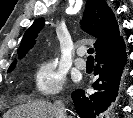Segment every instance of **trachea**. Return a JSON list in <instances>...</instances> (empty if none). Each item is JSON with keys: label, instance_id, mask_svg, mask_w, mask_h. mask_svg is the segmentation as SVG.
I'll return each instance as SVG.
<instances>
[{"label": "trachea", "instance_id": "1", "mask_svg": "<svg viewBox=\"0 0 133 118\" xmlns=\"http://www.w3.org/2000/svg\"><path fill=\"white\" fill-rule=\"evenodd\" d=\"M87 52H88V54H89L88 60H93L92 54H93V52H94V49H93V48H89V49L87 50Z\"/></svg>", "mask_w": 133, "mask_h": 118}]
</instances>
